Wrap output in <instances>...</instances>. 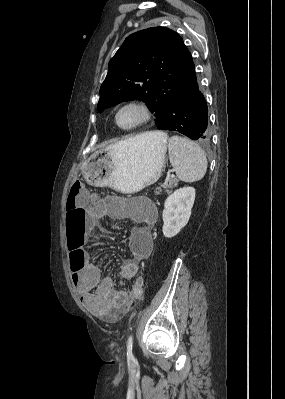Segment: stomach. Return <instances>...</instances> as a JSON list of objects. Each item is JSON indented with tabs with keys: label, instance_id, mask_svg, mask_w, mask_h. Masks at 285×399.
Returning a JSON list of instances; mask_svg holds the SVG:
<instances>
[{
	"label": "stomach",
	"instance_id": "stomach-1",
	"mask_svg": "<svg viewBox=\"0 0 285 399\" xmlns=\"http://www.w3.org/2000/svg\"><path fill=\"white\" fill-rule=\"evenodd\" d=\"M166 150L165 133L157 131L154 139L137 135L94 152L81 171L90 185L136 193L160 178Z\"/></svg>",
	"mask_w": 285,
	"mask_h": 399
}]
</instances>
